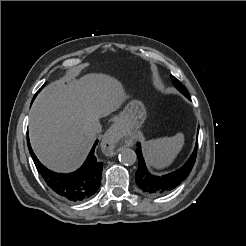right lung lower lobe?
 <instances>
[{"mask_svg": "<svg viewBox=\"0 0 246 246\" xmlns=\"http://www.w3.org/2000/svg\"><path fill=\"white\" fill-rule=\"evenodd\" d=\"M29 152L37 170L47 185L62 199L69 202H80L92 196L100 186L103 163L94 156V143L86 161L80 169L69 174L55 173L43 166L34 154L27 136Z\"/></svg>", "mask_w": 246, "mask_h": 246, "instance_id": "right-lung-lower-lobe-1", "label": "right lung lower lobe"}]
</instances>
